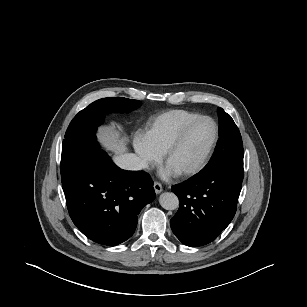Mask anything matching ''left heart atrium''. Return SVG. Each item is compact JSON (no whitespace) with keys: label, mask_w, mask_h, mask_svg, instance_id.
Here are the masks:
<instances>
[{"label":"left heart atrium","mask_w":307,"mask_h":307,"mask_svg":"<svg viewBox=\"0 0 307 307\" xmlns=\"http://www.w3.org/2000/svg\"><path fill=\"white\" fill-rule=\"evenodd\" d=\"M176 174L177 173L174 170H172L171 168H169V167H166V169H165V171L163 173V175L165 177L173 176V175H176Z\"/></svg>","instance_id":"obj_1"}]
</instances>
